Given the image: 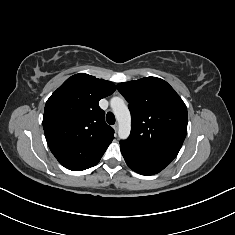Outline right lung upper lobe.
Segmentation results:
<instances>
[{"label": "right lung upper lobe", "mask_w": 235, "mask_h": 235, "mask_svg": "<svg viewBox=\"0 0 235 235\" xmlns=\"http://www.w3.org/2000/svg\"><path fill=\"white\" fill-rule=\"evenodd\" d=\"M116 86L79 73L68 78L47 100L43 128L49 148L66 168L86 167L99 160L114 139L99 100Z\"/></svg>", "instance_id": "cb5924a9"}]
</instances>
